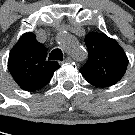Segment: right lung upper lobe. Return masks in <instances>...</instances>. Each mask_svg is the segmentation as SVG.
<instances>
[{
    "label": "right lung upper lobe",
    "mask_w": 135,
    "mask_h": 135,
    "mask_svg": "<svg viewBox=\"0 0 135 135\" xmlns=\"http://www.w3.org/2000/svg\"><path fill=\"white\" fill-rule=\"evenodd\" d=\"M47 48L36 40L33 33L20 37L9 54L8 70L20 88L36 91L51 80L60 65L46 59Z\"/></svg>",
    "instance_id": "1"
}]
</instances>
